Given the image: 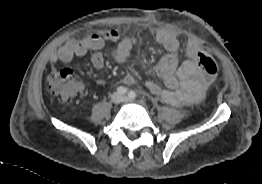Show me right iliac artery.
Here are the masks:
<instances>
[{"instance_id":"82829eb1","label":"right iliac artery","mask_w":262,"mask_h":184,"mask_svg":"<svg viewBox=\"0 0 262 184\" xmlns=\"http://www.w3.org/2000/svg\"><path fill=\"white\" fill-rule=\"evenodd\" d=\"M117 92L119 94L123 95V94H126L128 92V89L126 87L120 86V87L117 88Z\"/></svg>"}]
</instances>
